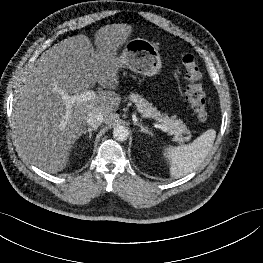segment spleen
Segmentation results:
<instances>
[{"mask_svg":"<svg viewBox=\"0 0 263 263\" xmlns=\"http://www.w3.org/2000/svg\"><path fill=\"white\" fill-rule=\"evenodd\" d=\"M216 137L214 129H208L189 145L168 146L164 156L170 162V175L181 178L193 172L205 160Z\"/></svg>","mask_w":263,"mask_h":263,"instance_id":"3e777b00","label":"spleen"}]
</instances>
